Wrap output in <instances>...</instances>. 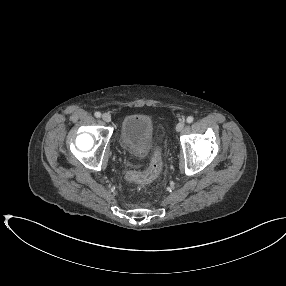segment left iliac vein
<instances>
[{"label": "left iliac vein", "instance_id": "obj_1", "mask_svg": "<svg viewBox=\"0 0 286 286\" xmlns=\"http://www.w3.org/2000/svg\"><path fill=\"white\" fill-rule=\"evenodd\" d=\"M184 127H185V121H180L178 124H177V126H176V131L177 132H180V131H182L183 129H184Z\"/></svg>", "mask_w": 286, "mask_h": 286}]
</instances>
